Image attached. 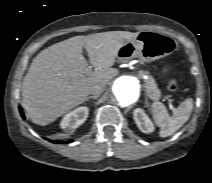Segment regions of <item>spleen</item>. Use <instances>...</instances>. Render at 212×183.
Instances as JSON below:
<instances>
[{
  "mask_svg": "<svg viewBox=\"0 0 212 183\" xmlns=\"http://www.w3.org/2000/svg\"><path fill=\"white\" fill-rule=\"evenodd\" d=\"M192 109L193 100L188 98L178 106L173 116H170L161 102H154L152 115L155 123L160 127V137H168L181 128L189 119Z\"/></svg>",
  "mask_w": 212,
  "mask_h": 183,
  "instance_id": "1",
  "label": "spleen"
}]
</instances>
